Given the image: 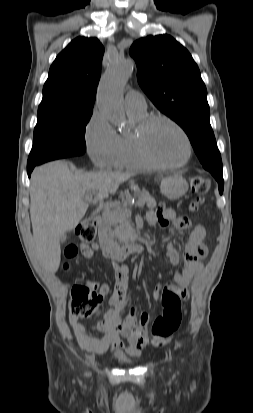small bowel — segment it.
<instances>
[{
	"label": "small bowel",
	"mask_w": 253,
	"mask_h": 413,
	"mask_svg": "<svg viewBox=\"0 0 253 413\" xmlns=\"http://www.w3.org/2000/svg\"><path fill=\"white\" fill-rule=\"evenodd\" d=\"M147 220L151 225H159L163 228L174 224L179 229H187L190 226L188 218H177L173 209L160 206L156 211L147 214ZM207 230L204 225L197 224L192 227L183 252V267L174 273L175 291L182 299H188V286L192 278L203 269L202 259L208 253L205 243ZM100 250L97 243L81 245V252L85 258H92L95 252ZM167 257L174 266L179 265L181 256L177 250L169 244ZM105 295L109 291L107 284L99 288ZM128 289V268L118 263L114 264V285L109 303L111 308L93 326H85L81 318L69 315V323L77 342L85 350L103 354L108 350H124L129 355H139L147 346H160L158 342L149 336L148 324L150 316L147 313L136 315L135 308L131 307L129 313L123 317L125 310L124 295ZM161 285L157 284L152 291L154 300L160 298ZM100 310L97 315H100ZM101 335V336H99ZM125 338L127 344L122 340Z\"/></svg>",
	"instance_id": "1"
}]
</instances>
